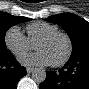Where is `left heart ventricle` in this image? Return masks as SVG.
Returning a JSON list of instances; mask_svg holds the SVG:
<instances>
[{
	"label": "left heart ventricle",
	"mask_w": 89,
	"mask_h": 89,
	"mask_svg": "<svg viewBox=\"0 0 89 89\" xmlns=\"http://www.w3.org/2000/svg\"><path fill=\"white\" fill-rule=\"evenodd\" d=\"M67 42L65 38L58 36L50 41L41 42L37 45L38 51L45 52L51 63L61 60L67 52Z\"/></svg>",
	"instance_id": "1"
}]
</instances>
